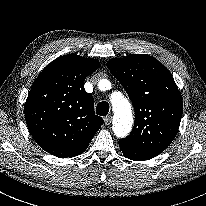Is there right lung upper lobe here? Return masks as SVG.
Here are the masks:
<instances>
[{
	"label": "right lung upper lobe",
	"mask_w": 206,
	"mask_h": 206,
	"mask_svg": "<svg viewBox=\"0 0 206 206\" xmlns=\"http://www.w3.org/2000/svg\"><path fill=\"white\" fill-rule=\"evenodd\" d=\"M99 66L93 58L68 54L51 62L35 80L25 120L36 143L48 153L60 158L81 154L103 124L83 85Z\"/></svg>",
	"instance_id": "right-lung-upper-lobe-1"
}]
</instances>
